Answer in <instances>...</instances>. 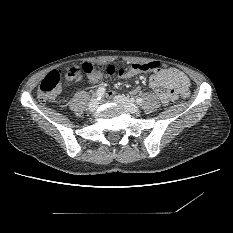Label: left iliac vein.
Segmentation results:
<instances>
[{"label":"left iliac vein","mask_w":233,"mask_h":233,"mask_svg":"<svg viewBox=\"0 0 233 233\" xmlns=\"http://www.w3.org/2000/svg\"><path fill=\"white\" fill-rule=\"evenodd\" d=\"M114 100L123 105L126 110L130 113H137L139 111V108L136 104L132 103L127 97L123 96V95H116L114 97Z\"/></svg>","instance_id":"1"}]
</instances>
